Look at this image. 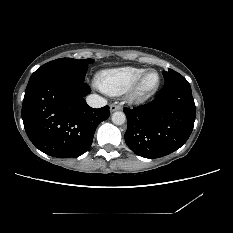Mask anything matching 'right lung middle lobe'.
Segmentation results:
<instances>
[{
    "label": "right lung middle lobe",
    "mask_w": 233,
    "mask_h": 233,
    "mask_svg": "<svg viewBox=\"0 0 233 233\" xmlns=\"http://www.w3.org/2000/svg\"><path fill=\"white\" fill-rule=\"evenodd\" d=\"M93 59L77 60L73 58H60L50 61L38 68L30 77L29 82L46 76H65L67 78L84 82L88 69V64L93 63Z\"/></svg>",
    "instance_id": "dd1d6c3e"
}]
</instances>
